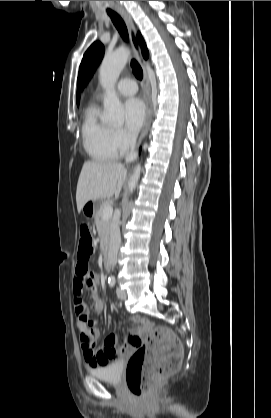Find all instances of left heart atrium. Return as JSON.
Wrapping results in <instances>:
<instances>
[{"label":"left heart atrium","mask_w":271,"mask_h":418,"mask_svg":"<svg viewBox=\"0 0 271 418\" xmlns=\"http://www.w3.org/2000/svg\"><path fill=\"white\" fill-rule=\"evenodd\" d=\"M145 118V106L140 99L132 98L125 103V123L129 131L133 133L139 131Z\"/></svg>","instance_id":"39dd6f15"}]
</instances>
